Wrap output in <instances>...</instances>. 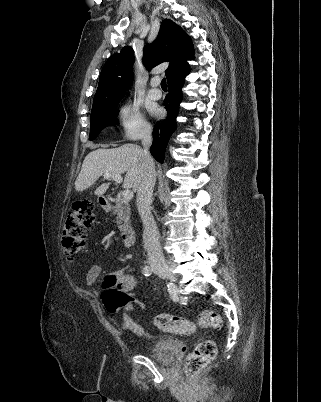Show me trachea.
Returning a JSON list of instances; mask_svg holds the SVG:
<instances>
[{"label": "trachea", "instance_id": "1", "mask_svg": "<svg viewBox=\"0 0 321 402\" xmlns=\"http://www.w3.org/2000/svg\"><path fill=\"white\" fill-rule=\"evenodd\" d=\"M161 88L167 89V84H166V79L165 78H163L162 81H161Z\"/></svg>", "mask_w": 321, "mask_h": 402}]
</instances>
